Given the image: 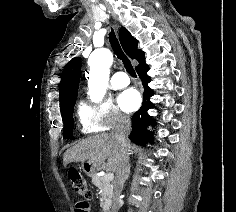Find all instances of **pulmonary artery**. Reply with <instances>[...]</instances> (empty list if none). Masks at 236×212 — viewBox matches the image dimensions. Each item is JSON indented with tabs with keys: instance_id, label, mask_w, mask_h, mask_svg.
Masks as SVG:
<instances>
[{
	"instance_id": "e3ab8cb5",
	"label": "pulmonary artery",
	"mask_w": 236,
	"mask_h": 212,
	"mask_svg": "<svg viewBox=\"0 0 236 212\" xmlns=\"http://www.w3.org/2000/svg\"><path fill=\"white\" fill-rule=\"evenodd\" d=\"M130 83L128 75L124 72H117L111 79V87L114 89H120L127 86Z\"/></svg>"
}]
</instances>
